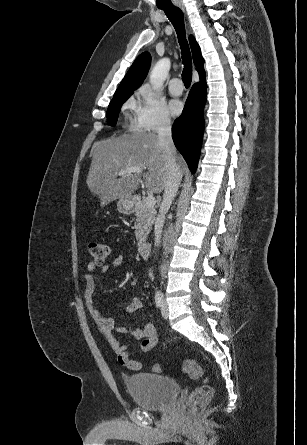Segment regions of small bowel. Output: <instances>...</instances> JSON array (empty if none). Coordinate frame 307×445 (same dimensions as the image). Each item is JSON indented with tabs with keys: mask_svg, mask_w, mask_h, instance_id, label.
<instances>
[{
	"mask_svg": "<svg viewBox=\"0 0 307 445\" xmlns=\"http://www.w3.org/2000/svg\"><path fill=\"white\" fill-rule=\"evenodd\" d=\"M125 264V257L123 255L116 256L111 265H106L102 268V273L107 274L111 272L112 268H118ZM97 264L90 262L87 265V272L84 276V293L85 304L88 312L92 316L95 325L109 342L112 349L118 355L120 364L132 369L138 370L141 363L131 357L128 352V345L121 344L117 339V334H127L128 328L123 325H116L113 318L103 316L96 308L94 302V293L96 290V280L93 275ZM143 308V302L140 298L131 299L126 308V313L133 314ZM131 336L140 342V353H150L157 346L159 338L156 333V328L152 323H146L142 327L136 328L130 332Z\"/></svg>",
	"mask_w": 307,
	"mask_h": 445,
	"instance_id": "small-bowel-1",
	"label": "small bowel"
}]
</instances>
